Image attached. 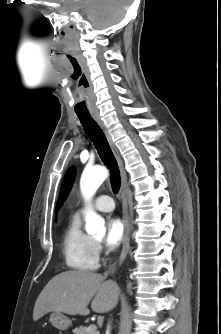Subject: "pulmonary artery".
Instances as JSON below:
<instances>
[{
  "mask_svg": "<svg viewBox=\"0 0 221 334\" xmlns=\"http://www.w3.org/2000/svg\"><path fill=\"white\" fill-rule=\"evenodd\" d=\"M94 207L95 209L102 211V212H110L112 210H114L115 208V203L114 200L111 196L109 195H101L99 197L96 198L95 202H94ZM82 210H78L76 215L79 216L80 214H82Z\"/></svg>",
  "mask_w": 221,
  "mask_h": 334,
  "instance_id": "pulmonary-artery-1",
  "label": "pulmonary artery"
}]
</instances>
